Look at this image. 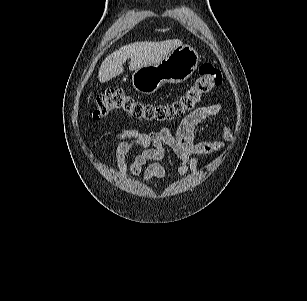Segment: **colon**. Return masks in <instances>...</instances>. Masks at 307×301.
I'll return each mask as SVG.
<instances>
[{
    "label": "colon",
    "mask_w": 307,
    "mask_h": 301,
    "mask_svg": "<svg viewBox=\"0 0 307 301\" xmlns=\"http://www.w3.org/2000/svg\"><path fill=\"white\" fill-rule=\"evenodd\" d=\"M221 83V71L211 63H204L199 68V76L172 103L145 102L121 89H112L96 97L94 116L103 117L111 112H122L144 122L164 123L179 120L192 114L201 100Z\"/></svg>",
    "instance_id": "obj_1"
}]
</instances>
